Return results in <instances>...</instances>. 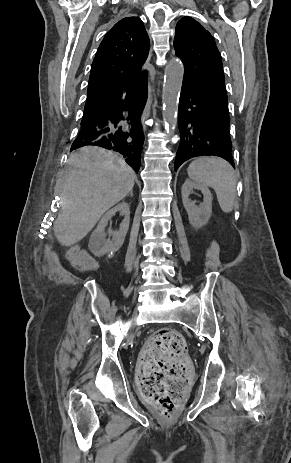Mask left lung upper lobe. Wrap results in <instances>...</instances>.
I'll use <instances>...</instances> for the list:
<instances>
[{
  "label": "left lung upper lobe",
  "instance_id": "1",
  "mask_svg": "<svg viewBox=\"0 0 291 463\" xmlns=\"http://www.w3.org/2000/svg\"><path fill=\"white\" fill-rule=\"evenodd\" d=\"M174 48L184 65L182 86L199 91L228 111L221 55L211 34L191 17L176 25Z\"/></svg>",
  "mask_w": 291,
  "mask_h": 463
}]
</instances>
